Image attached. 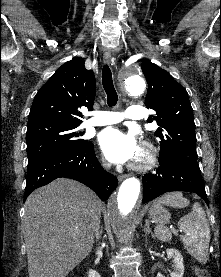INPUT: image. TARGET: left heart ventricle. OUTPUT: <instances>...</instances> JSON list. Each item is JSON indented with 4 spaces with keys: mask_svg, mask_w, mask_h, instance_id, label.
Instances as JSON below:
<instances>
[{
    "mask_svg": "<svg viewBox=\"0 0 221 277\" xmlns=\"http://www.w3.org/2000/svg\"><path fill=\"white\" fill-rule=\"evenodd\" d=\"M141 158H142V153H141V149H140V152H139V154L137 155L135 161H138V160H140Z\"/></svg>",
    "mask_w": 221,
    "mask_h": 277,
    "instance_id": "1",
    "label": "left heart ventricle"
}]
</instances>
